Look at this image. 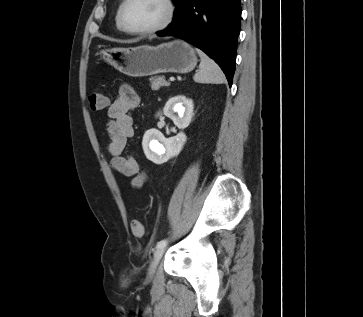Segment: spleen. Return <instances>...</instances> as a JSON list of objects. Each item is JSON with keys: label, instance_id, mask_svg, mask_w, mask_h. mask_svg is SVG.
Listing matches in <instances>:
<instances>
[{"label": "spleen", "instance_id": "obj_1", "mask_svg": "<svg viewBox=\"0 0 363 317\" xmlns=\"http://www.w3.org/2000/svg\"><path fill=\"white\" fill-rule=\"evenodd\" d=\"M196 51L200 56L201 62L199 72L193 77L194 81L197 83H224L226 78L219 65L202 50L196 49Z\"/></svg>", "mask_w": 363, "mask_h": 317}]
</instances>
